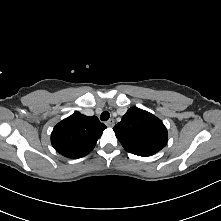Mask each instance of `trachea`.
Here are the masks:
<instances>
[{"label":"trachea","mask_w":221,"mask_h":221,"mask_svg":"<svg viewBox=\"0 0 221 221\" xmlns=\"http://www.w3.org/2000/svg\"><path fill=\"white\" fill-rule=\"evenodd\" d=\"M110 118V113L108 111H104L102 112V114L100 115V119L102 121H107Z\"/></svg>","instance_id":"obj_1"}]
</instances>
